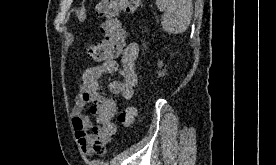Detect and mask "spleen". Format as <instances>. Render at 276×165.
<instances>
[{
    "label": "spleen",
    "instance_id": "spleen-1",
    "mask_svg": "<svg viewBox=\"0 0 276 165\" xmlns=\"http://www.w3.org/2000/svg\"><path fill=\"white\" fill-rule=\"evenodd\" d=\"M156 5L164 12L161 26L166 32L178 34L187 30L193 13L192 0H156Z\"/></svg>",
    "mask_w": 276,
    "mask_h": 165
}]
</instances>
